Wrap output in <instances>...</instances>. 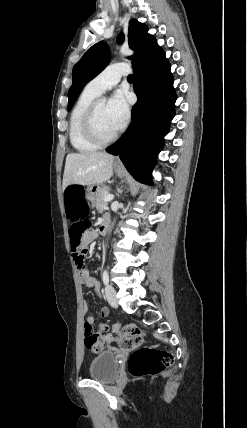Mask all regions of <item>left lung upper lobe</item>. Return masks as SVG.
Masks as SVG:
<instances>
[{
  "label": "left lung upper lobe",
  "instance_id": "5c2ea615",
  "mask_svg": "<svg viewBox=\"0 0 247 428\" xmlns=\"http://www.w3.org/2000/svg\"><path fill=\"white\" fill-rule=\"evenodd\" d=\"M145 24L132 19L128 29V44L135 54L133 68L138 67L150 57L154 56L162 49L157 45L154 36L148 34ZM124 40V35H119V42ZM111 58L110 48L105 41H100L93 45L83 55L81 60L74 66L73 83L68 92V111L71 110L75 100L84 86L95 78L109 64Z\"/></svg>",
  "mask_w": 247,
  "mask_h": 428
}]
</instances>
